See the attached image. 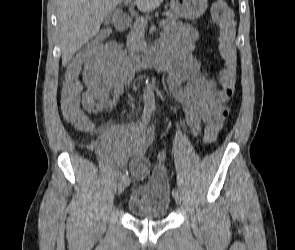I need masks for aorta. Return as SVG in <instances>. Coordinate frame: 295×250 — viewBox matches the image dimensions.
<instances>
[{
  "mask_svg": "<svg viewBox=\"0 0 295 250\" xmlns=\"http://www.w3.org/2000/svg\"><path fill=\"white\" fill-rule=\"evenodd\" d=\"M143 98H144V103H145L146 107H154L155 106L153 87L150 83H146V86H145L144 92H143Z\"/></svg>",
  "mask_w": 295,
  "mask_h": 250,
  "instance_id": "1",
  "label": "aorta"
}]
</instances>
